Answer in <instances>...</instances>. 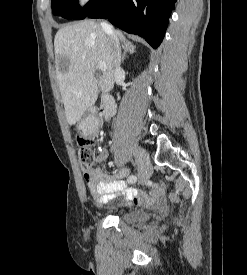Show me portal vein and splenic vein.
<instances>
[{"label": "portal vein and splenic vein", "mask_w": 247, "mask_h": 275, "mask_svg": "<svg viewBox=\"0 0 247 275\" xmlns=\"http://www.w3.org/2000/svg\"><path fill=\"white\" fill-rule=\"evenodd\" d=\"M97 68L102 72H105L107 70V66L104 62H99Z\"/></svg>", "instance_id": "obj_1"}]
</instances>
